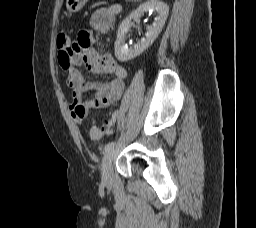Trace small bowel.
<instances>
[{"label": "small bowel", "mask_w": 256, "mask_h": 228, "mask_svg": "<svg viewBox=\"0 0 256 228\" xmlns=\"http://www.w3.org/2000/svg\"><path fill=\"white\" fill-rule=\"evenodd\" d=\"M119 5H110L97 9L90 18L92 29L107 33L120 13ZM59 63L66 72V85L71 91L70 113L73 121L80 124L93 109L106 108L119 100L125 87L126 69L111 54L96 50V39L89 30L78 33L77 40L67 50L59 49ZM84 67L92 73L112 74L110 82L87 81L82 74ZM92 93L90 98H86ZM114 122L107 125L111 130Z\"/></svg>", "instance_id": "1"}]
</instances>
